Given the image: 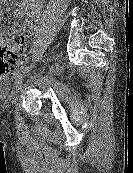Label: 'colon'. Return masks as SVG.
Instances as JSON below:
<instances>
[{
  "mask_svg": "<svg viewBox=\"0 0 133 173\" xmlns=\"http://www.w3.org/2000/svg\"><path fill=\"white\" fill-rule=\"evenodd\" d=\"M25 61L23 38L21 36H14L8 44L0 47V75L11 72Z\"/></svg>",
  "mask_w": 133,
  "mask_h": 173,
  "instance_id": "obj_1",
  "label": "colon"
}]
</instances>
